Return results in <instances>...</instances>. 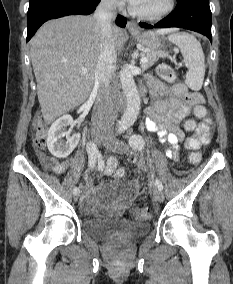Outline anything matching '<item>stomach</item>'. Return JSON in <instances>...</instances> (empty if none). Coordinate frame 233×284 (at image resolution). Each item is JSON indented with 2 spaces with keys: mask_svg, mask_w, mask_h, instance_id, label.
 I'll return each mask as SVG.
<instances>
[{
  "mask_svg": "<svg viewBox=\"0 0 233 284\" xmlns=\"http://www.w3.org/2000/svg\"><path fill=\"white\" fill-rule=\"evenodd\" d=\"M132 37L151 51H160L163 49L162 36L156 31H139L132 33Z\"/></svg>",
  "mask_w": 233,
  "mask_h": 284,
  "instance_id": "obj_1",
  "label": "stomach"
}]
</instances>
